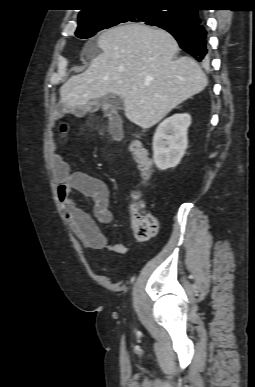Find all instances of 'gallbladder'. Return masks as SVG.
<instances>
[{"label": "gallbladder", "instance_id": "bac80fb5", "mask_svg": "<svg viewBox=\"0 0 255 387\" xmlns=\"http://www.w3.org/2000/svg\"><path fill=\"white\" fill-rule=\"evenodd\" d=\"M97 103L101 104L104 109L108 108L110 105L117 107L120 103V98L117 95L102 97L98 99Z\"/></svg>", "mask_w": 255, "mask_h": 387}]
</instances>
